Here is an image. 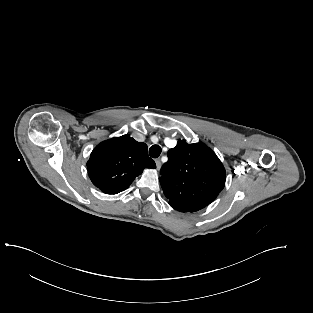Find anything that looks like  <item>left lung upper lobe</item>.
I'll return each instance as SVG.
<instances>
[{"mask_svg":"<svg viewBox=\"0 0 313 313\" xmlns=\"http://www.w3.org/2000/svg\"><path fill=\"white\" fill-rule=\"evenodd\" d=\"M159 178L169 205L195 212L209 205L225 186L226 172L216 154L202 143L179 140L168 151Z\"/></svg>","mask_w":313,"mask_h":313,"instance_id":"left-lung-upper-lobe-1","label":"left lung upper lobe"}]
</instances>
